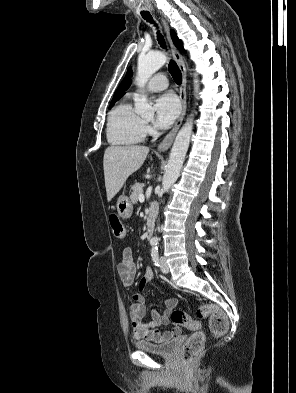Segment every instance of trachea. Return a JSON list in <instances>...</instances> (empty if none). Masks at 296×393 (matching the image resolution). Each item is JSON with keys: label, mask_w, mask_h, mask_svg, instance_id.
I'll list each match as a JSON object with an SVG mask.
<instances>
[{"label": "trachea", "mask_w": 296, "mask_h": 393, "mask_svg": "<svg viewBox=\"0 0 296 393\" xmlns=\"http://www.w3.org/2000/svg\"><path fill=\"white\" fill-rule=\"evenodd\" d=\"M141 15H142L143 19H145L146 21H148L150 23H154V20L149 12H142ZM157 40H158L159 44L161 45V47L166 48L165 40L159 32H157ZM169 72H170L171 76L173 77L174 81L178 85H180L182 82V73H181L178 65L176 64V62L173 60H171L169 63Z\"/></svg>", "instance_id": "3493384b"}]
</instances>
